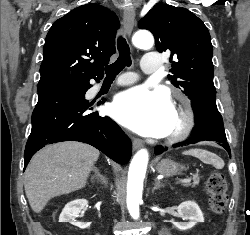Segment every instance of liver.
I'll use <instances>...</instances> for the list:
<instances>
[{"instance_id":"1","label":"liver","mask_w":250,"mask_h":235,"mask_svg":"<svg viewBox=\"0 0 250 235\" xmlns=\"http://www.w3.org/2000/svg\"><path fill=\"white\" fill-rule=\"evenodd\" d=\"M100 152L81 142L46 146L33 156L25 171V193L32 210L41 212L48 201L85 187Z\"/></svg>"}]
</instances>
